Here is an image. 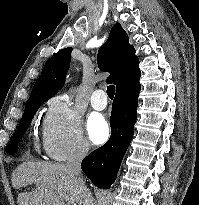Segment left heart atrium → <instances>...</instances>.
Returning <instances> with one entry per match:
<instances>
[{
  "instance_id": "left-heart-atrium-1",
  "label": "left heart atrium",
  "mask_w": 199,
  "mask_h": 205,
  "mask_svg": "<svg viewBox=\"0 0 199 205\" xmlns=\"http://www.w3.org/2000/svg\"><path fill=\"white\" fill-rule=\"evenodd\" d=\"M87 132L93 143L100 144L108 138L109 127L101 115L94 114L88 119Z\"/></svg>"
}]
</instances>
